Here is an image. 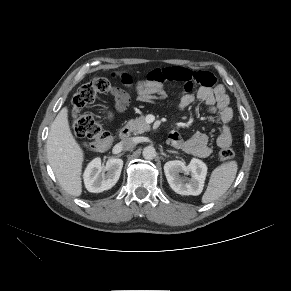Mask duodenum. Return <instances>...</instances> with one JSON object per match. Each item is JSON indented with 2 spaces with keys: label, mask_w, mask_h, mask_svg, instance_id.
Returning <instances> with one entry per match:
<instances>
[{
  "label": "duodenum",
  "mask_w": 291,
  "mask_h": 291,
  "mask_svg": "<svg viewBox=\"0 0 291 291\" xmlns=\"http://www.w3.org/2000/svg\"><path fill=\"white\" fill-rule=\"evenodd\" d=\"M130 136V129L128 126H124L123 128H121L120 132H119V137L120 139L124 140L127 139Z\"/></svg>",
  "instance_id": "410a0bca"
}]
</instances>
